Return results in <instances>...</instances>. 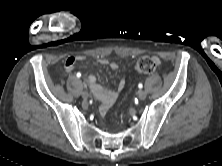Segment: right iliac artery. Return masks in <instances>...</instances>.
I'll return each mask as SVG.
<instances>
[{"instance_id": "82829eb1", "label": "right iliac artery", "mask_w": 222, "mask_h": 166, "mask_svg": "<svg viewBox=\"0 0 222 166\" xmlns=\"http://www.w3.org/2000/svg\"><path fill=\"white\" fill-rule=\"evenodd\" d=\"M81 76V74L80 73H77V77L79 78Z\"/></svg>"}]
</instances>
